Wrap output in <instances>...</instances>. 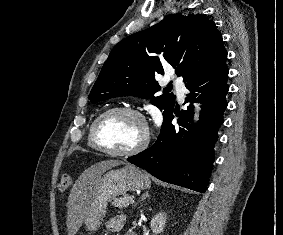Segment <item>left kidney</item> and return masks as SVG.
Listing matches in <instances>:
<instances>
[{
	"label": "left kidney",
	"instance_id": "5707ae66",
	"mask_svg": "<svg viewBox=\"0 0 283 235\" xmlns=\"http://www.w3.org/2000/svg\"><path fill=\"white\" fill-rule=\"evenodd\" d=\"M165 223H166L165 214L162 212L156 214L152 218L150 223L151 230L153 231V235L160 234L165 227Z\"/></svg>",
	"mask_w": 283,
	"mask_h": 235
}]
</instances>
